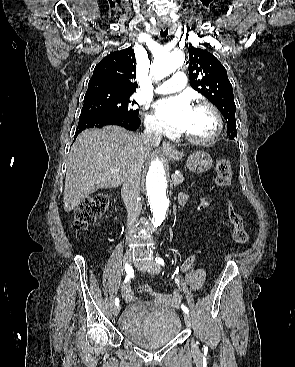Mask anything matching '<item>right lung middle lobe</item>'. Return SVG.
I'll use <instances>...</instances> for the list:
<instances>
[{
  "mask_svg": "<svg viewBox=\"0 0 295 367\" xmlns=\"http://www.w3.org/2000/svg\"><path fill=\"white\" fill-rule=\"evenodd\" d=\"M131 94H121L109 90H87L80 119L95 116H138L139 110L132 106L136 101H131Z\"/></svg>",
  "mask_w": 295,
  "mask_h": 367,
  "instance_id": "dd1d6c3e",
  "label": "right lung middle lobe"
}]
</instances>
